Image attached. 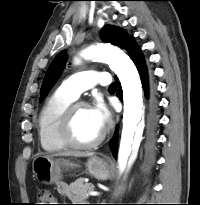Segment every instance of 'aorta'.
I'll list each match as a JSON object with an SVG mask.
<instances>
[{
  "mask_svg": "<svg viewBox=\"0 0 200 205\" xmlns=\"http://www.w3.org/2000/svg\"><path fill=\"white\" fill-rule=\"evenodd\" d=\"M80 56L107 63L121 82L124 113L119 159L130 155V169L137 157L143 134V125L140 123L143 113L142 84L137 68L126 53L110 43L89 46L80 52Z\"/></svg>",
  "mask_w": 200,
  "mask_h": 205,
  "instance_id": "aorta-1",
  "label": "aorta"
}]
</instances>
